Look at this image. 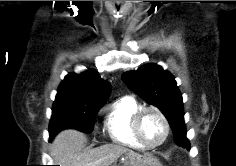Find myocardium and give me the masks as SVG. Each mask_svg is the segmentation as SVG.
Listing matches in <instances>:
<instances>
[{
    "label": "myocardium",
    "mask_w": 236,
    "mask_h": 166,
    "mask_svg": "<svg viewBox=\"0 0 236 166\" xmlns=\"http://www.w3.org/2000/svg\"><path fill=\"white\" fill-rule=\"evenodd\" d=\"M148 112H154L155 114H157L164 124V129H165L164 136L162 140L156 144L148 143L143 138L141 133V121L144 115ZM132 127L136 139L147 149H155L160 147L166 142L170 134V124L167 117L158 107L155 106L142 107L140 110H138L133 117Z\"/></svg>",
    "instance_id": "1"
}]
</instances>
